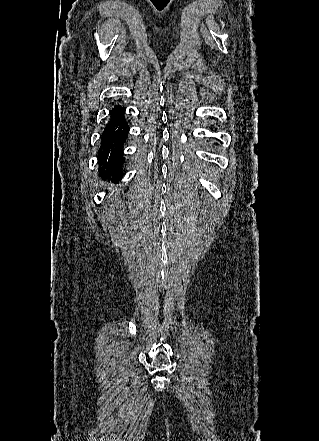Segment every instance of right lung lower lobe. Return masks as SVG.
Segmentation results:
<instances>
[{
	"label": "right lung lower lobe",
	"mask_w": 319,
	"mask_h": 441,
	"mask_svg": "<svg viewBox=\"0 0 319 441\" xmlns=\"http://www.w3.org/2000/svg\"><path fill=\"white\" fill-rule=\"evenodd\" d=\"M125 108L116 105L110 112L109 120L101 134L99 165L102 172L113 175L112 180L121 178L124 158L123 145L127 139L129 126L124 117Z\"/></svg>",
	"instance_id": "right-lung-lower-lobe-1"
}]
</instances>
